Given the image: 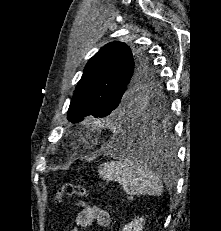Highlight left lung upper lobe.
<instances>
[{
  "instance_id": "1",
  "label": "left lung upper lobe",
  "mask_w": 221,
  "mask_h": 231,
  "mask_svg": "<svg viewBox=\"0 0 221 231\" xmlns=\"http://www.w3.org/2000/svg\"><path fill=\"white\" fill-rule=\"evenodd\" d=\"M140 103L146 115L166 122L168 104L148 54L111 42L86 64L68 110V120L78 123L102 118Z\"/></svg>"
}]
</instances>
